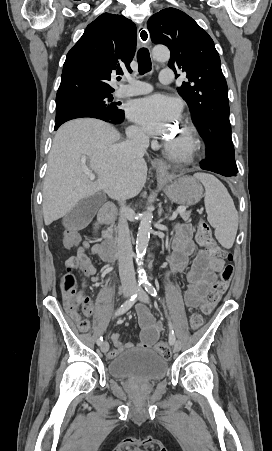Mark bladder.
<instances>
[{"label":"bladder","instance_id":"bladder-1","mask_svg":"<svg viewBox=\"0 0 272 451\" xmlns=\"http://www.w3.org/2000/svg\"><path fill=\"white\" fill-rule=\"evenodd\" d=\"M106 369L109 376L117 377L120 381L152 382L164 379L167 361L160 353L142 349L118 354L107 363Z\"/></svg>","mask_w":272,"mask_h":451}]
</instances>
